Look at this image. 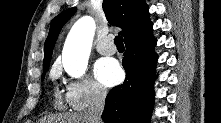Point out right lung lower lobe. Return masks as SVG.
<instances>
[{
    "label": "right lung lower lobe",
    "instance_id": "obj_1",
    "mask_svg": "<svg viewBox=\"0 0 221 123\" xmlns=\"http://www.w3.org/2000/svg\"><path fill=\"white\" fill-rule=\"evenodd\" d=\"M152 31L125 42L122 65L126 78L106 97L102 119L105 123H149L154 104L153 84L157 55Z\"/></svg>",
    "mask_w": 221,
    "mask_h": 123
}]
</instances>
